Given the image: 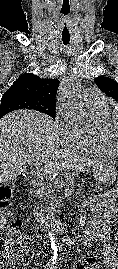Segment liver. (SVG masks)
<instances>
[{
    "label": "liver",
    "mask_w": 118,
    "mask_h": 269,
    "mask_svg": "<svg viewBox=\"0 0 118 269\" xmlns=\"http://www.w3.org/2000/svg\"><path fill=\"white\" fill-rule=\"evenodd\" d=\"M58 147L59 129L48 115L26 109L5 115L0 119V183L17 178L25 164L44 165L43 173L56 174L100 163Z\"/></svg>",
    "instance_id": "6515ba94"
}]
</instances>
